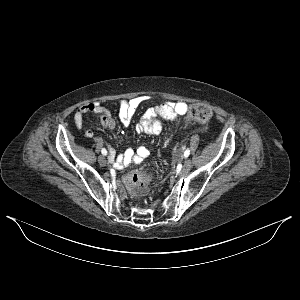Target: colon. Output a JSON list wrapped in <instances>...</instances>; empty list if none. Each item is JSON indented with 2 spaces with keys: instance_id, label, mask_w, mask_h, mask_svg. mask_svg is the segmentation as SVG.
I'll list each match as a JSON object with an SVG mask.
<instances>
[{
  "instance_id": "5ec220e1",
  "label": "colon",
  "mask_w": 300,
  "mask_h": 300,
  "mask_svg": "<svg viewBox=\"0 0 300 300\" xmlns=\"http://www.w3.org/2000/svg\"><path fill=\"white\" fill-rule=\"evenodd\" d=\"M212 111L209 106L203 103L191 105L188 119L204 124L210 120ZM149 175L140 172H131L124 179L127 191L133 197H140L148 192Z\"/></svg>"
}]
</instances>
